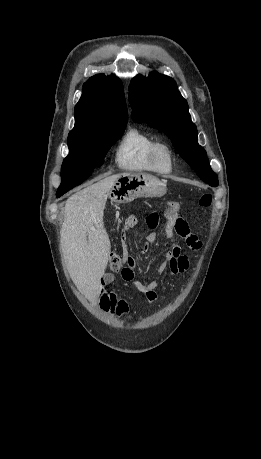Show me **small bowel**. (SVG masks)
I'll return each instance as SVG.
<instances>
[{
	"label": "small bowel",
	"instance_id": "obj_1",
	"mask_svg": "<svg viewBox=\"0 0 261 459\" xmlns=\"http://www.w3.org/2000/svg\"><path fill=\"white\" fill-rule=\"evenodd\" d=\"M138 225V219L135 216H129L124 221L122 232L125 233ZM175 234L182 237L187 245L194 249L198 250L200 248V242L194 234H192L185 224L183 230H178L175 223L171 220H168L165 227V235L169 240H173ZM157 240V234L155 232H150L143 246V251L147 252L149 245L153 244ZM127 266L121 270V279L132 284L140 293H142L145 298L152 304H155L158 301V294L156 291L157 280L153 279L149 282H141L135 279L134 275V265L135 260L132 257L125 256L124 258ZM189 267V259L186 255L182 254L181 248L178 244L173 243L172 248L167 252L165 260L158 266L157 275L162 274L167 269L172 275H179L185 272ZM114 280V276L110 273L103 275L102 289L98 296V302L101 309L113 316L125 317L129 311V302L125 297L119 296L113 291L108 289V286Z\"/></svg>",
	"mask_w": 261,
	"mask_h": 459
}]
</instances>
